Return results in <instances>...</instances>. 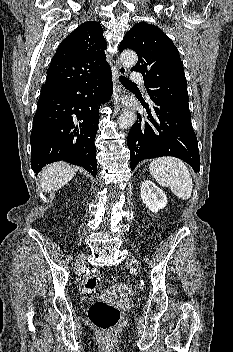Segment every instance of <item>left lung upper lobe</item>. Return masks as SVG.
<instances>
[{
  "instance_id": "5c2ea615",
  "label": "left lung upper lobe",
  "mask_w": 233,
  "mask_h": 352,
  "mask_svg": "<svg viewBox=\"0 0 233 352\" xmlns=\"http://www.w3.org/2000/svg\"><path fill=\"white\" fill-rule=\"evenodd\" d=\"M127 48L138 55L131 71L143 74L149 96L189 109L187 81L179 52L161 29L145 22L135 24L125 34L119 51Z\"/></svg>"
}]
</instances>
